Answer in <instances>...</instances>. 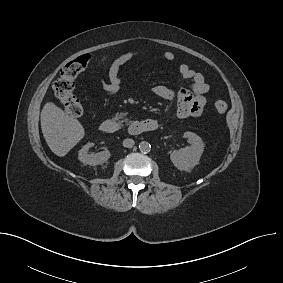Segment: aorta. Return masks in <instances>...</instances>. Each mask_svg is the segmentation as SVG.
<instances>
[{"mask_svg":"<svg viewBox=\"0 0 283 283\" xmlns=\"http://www.w3.org/2000/svg\"><path fill=\"white\" fill-rule=\"evenodd\" d=\"M139 150L143 153H148L151 150V145L147 141H142L139 144Z\"/></svg>","mask_w":283,"mask_h":283,"instance_id":"1","label":"aorta"}]
</instances>
